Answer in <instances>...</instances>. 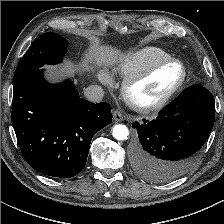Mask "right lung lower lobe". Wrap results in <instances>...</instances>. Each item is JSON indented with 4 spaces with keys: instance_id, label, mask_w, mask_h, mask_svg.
<instances>
[{
    "instance_id": "98d812e1",
    "label": "right lung lower lobe",
    "mask_w": 224,
    "mask_h": 224,
    "mask_svg": "<svg viewBox=\"0 0 224 224\" xmlns=\"http://www.w3.org/2000/svg\"><path fill=\"white\" fill-rule=\"evenodd\" d=\"M12 104L11 120L26 162L52 177L80 173L92 137L112 122L108 103L80 98L70 80L48 84L39 68L14 85Z\"/></svg>"
}]
</instances>
